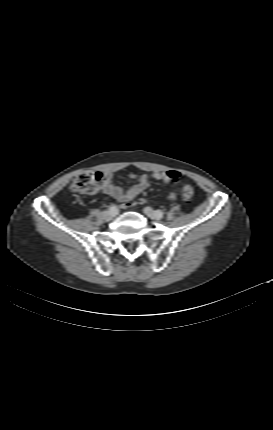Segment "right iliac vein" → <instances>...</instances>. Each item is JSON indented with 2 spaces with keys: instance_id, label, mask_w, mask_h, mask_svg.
I'll return each mask as SVG.
<instances>
[{
  "instance_id": "right-iliac-vein-1",
  "label": "right iliac vein",
  "mask_w": 273,
  "mask_h": 430,
  "mask_svg": "<svg viewBox=\"0 0 273 430\" xmlns=\"http://www.w3.org/2000/svg\"><path fill=\"white\" fill-rule=\"evenodd\" d=\"M117 214H118V210H117V209H115V210H108V211H106V212H105V215H106L107 217H109V218H113V217H115Z\"/></svg>"
}]
</instances>
